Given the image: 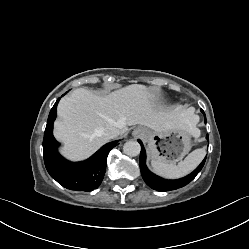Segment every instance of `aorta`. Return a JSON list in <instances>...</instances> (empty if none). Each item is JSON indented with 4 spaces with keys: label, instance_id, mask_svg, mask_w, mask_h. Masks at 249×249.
I'll list each match as a JSON object with an SVG mask.
<instances>
[{
    "label": "aorta",
    "instance_id": "762f6f07",
    "mask_svg": "<svg viewBox=\"0 0 249 249\" xmlns=\"http://www.w3.org/2000/svg\"><path fill=\"white\" fill-rule=\"evenodd\" d=\"M141 147L137 141H128L123 146V152L128 156H137L140 153Z\"/></svg>",
    "mask_w": 249,
    "mask_h": 249
}]
</instances>
